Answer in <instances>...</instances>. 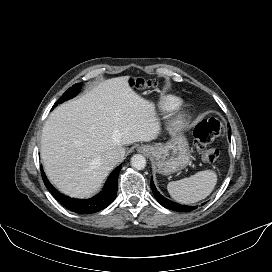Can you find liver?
<instances>
[{"mask_svg": "<svg viewBox=\"0 0 272 272\" xmlns=\"http://www.w3.org/2000/svg\"><path fill=\"white\" fill-rule=\"evenodd\" d=\"M129 76L105 80L80 98L58 106L41 136L46 175L60 191L84 198L94 194L114 165L103 155L157 137L159 125L152 102L129 86Z\"/></svg>", "mask_w": 272, "mask_h": 272, "instance_id": "liver-1", "label": "liver"}]
</instances>
